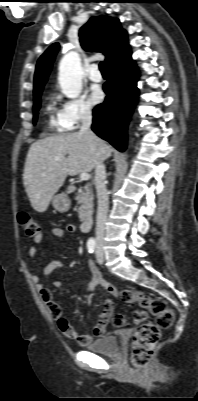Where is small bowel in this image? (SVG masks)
Here are the masks:
<instances>
[{
    "label": "small bowel",
    "mask_w": 198,
    "mask_h": 401,
    "mask_svg": "<svg viewBox=\"0 0 198 401\" xmlns=\"http://www.w3.org/2000/svg\"><path fill=\"white\" fill-rule=\"evenodd\" d=\"M76 231V226L73 224H67L64 228L60 227H52L49 232L50 235L54 238H62L65 233H74ZM43 230H40L35 237L34 245L29 248V257L34 260L38 257L37 245L41 244L43 239ZM89 267L92 272V281L89 285L88 291L91 292L96 286L103 287L112 297H116L117 291L110 283L106 282L97 268L89 262ZM63 268V263L59 260H51L49 261L43 269L42 275L37 274L34 271L32 266L29 267V272L31 274V280L35 285L37 291L40 293V296L47 306V309L50 315L58 322L59 330L61 334L69 339L78 340L81 346H86L92 340V337L89 335H80L74 326L66 319L63 318L62 312L58 304L53 299L52 291L46 287H44V281L48 278V276L55 270H60ZM54 286L56 288H61L60 280L56 279L54 281ZM114 303L111 298H107L104 301L102 313L98 319V323L94 327V336L101 337L105 333L106 325L113 313Z\"/></svg>",
    "instance_id": "1"
}]
</instances>
